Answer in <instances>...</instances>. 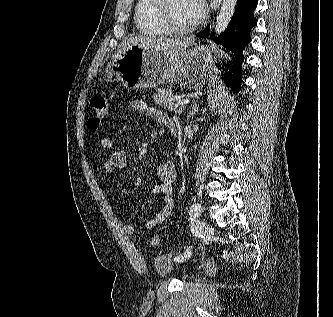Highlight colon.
<instances>
[{
  "label": "colon",
  "instance_id": "1",
  "mask_svg": "<svg viewBox=\"0 0 333 317\" xmlns=\"http://www.w3.org/2000/svg\"><path fill=\"white\" fill-rule=\"evenodd\" d=\"M108 112V101L103 96H94L89 104V116L87 120V127L91 133H96ZM160 243L158 235L151 238V245L157 246Z\"/></svg>",
  "mask_w": 333,
  "mask_h": 317
}]
</instances>
